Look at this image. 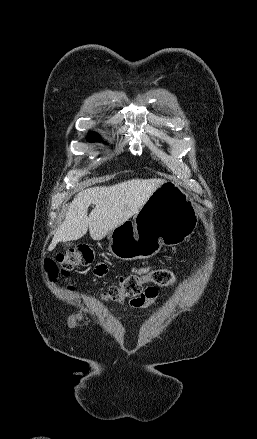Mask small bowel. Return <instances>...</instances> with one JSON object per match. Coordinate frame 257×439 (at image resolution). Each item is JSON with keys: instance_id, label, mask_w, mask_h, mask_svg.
Here are the masks:
<instances>
[{"instance_id": "obj_1", "label": "small bowel", "mask_w": 257, "mask_h": 439, "mask_svg": "<svg viewBox=\"0 0 257 439\" xmlns=\"http://www.w3.org/2000/svg\"><path fill=\"white\" fill-rule=\"evenodd\" d=\"M158 269L157 266L154 265H146L141 267H135L131 270V273L136 276H144L149 274L151 271ZM113 271L109 270L106 264H98L95 267L94 273L97 277L102 278ZM158 289L156 287L150 286L147 287L143 294L139 297L132 298L129 301V304L133 308L145 309L150 306L155 305L156 299L158 297Z\"/></svg>"}]
</instances>
